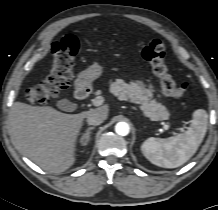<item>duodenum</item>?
Segmentation results:
<instances>
[{
  "label": "duodenum",
  "instance_id": "410a0bca",
  "mask_svg": "<svg viewBox=\"0 0 218 210\" xmlns=\"http://www.w3.org/2000/svg\"><path fill=\"white\" fill-rule=\"evenodd\" d=\"M90 95L89 83L84 77H80L76 82L75 96L78 100H85Z\"/></svg>",
  "mask_w": 218,
  "mask_h": 210
}]
</instances>
